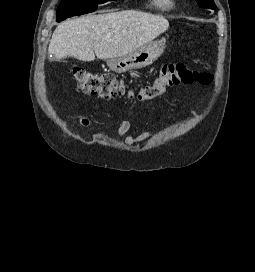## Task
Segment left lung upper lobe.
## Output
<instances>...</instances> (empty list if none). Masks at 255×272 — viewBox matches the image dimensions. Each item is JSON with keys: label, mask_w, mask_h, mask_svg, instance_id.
I'll return each instance as SVG.
<instances>
[{"label": "left lung upper lobe", "mask_w": 255, "mask_h": 272, "mask_svg": "<svg viewBox=\"0 0 255 272\" xmlns=\"http://www.w3.org/2000/svg\"><path fill=\"white\" fill-rule=\"evenodd\" d=\"M200 7L206 9H215L216 5L213 0H196Z\"/></svg>", "instance_id": "left-lung-upper-lobe-1"}]
</instances>
